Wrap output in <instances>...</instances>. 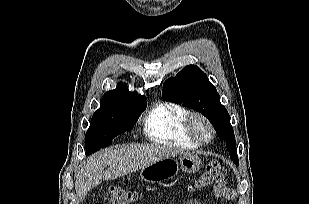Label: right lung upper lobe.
<instances>
[{
	"label": "right lung upper lobe",
	"mask_w": 309,
	"mask_h": 204,
	"mask_svg": "<svg viewBox=\"0 0 309 204\" xmlns=\"http://www.w3.org/2000/svg\"><path fill=\"white\" fill-rule=\"evenodd\" d=\"M144 96L139 95L137 92H129L124 84H118L115 90L108 91L101 98V105H106L122 100H143Z\"/></svg>",
	"instance_id": "right-lung-upper-lobe-1"
}]
</instances>
